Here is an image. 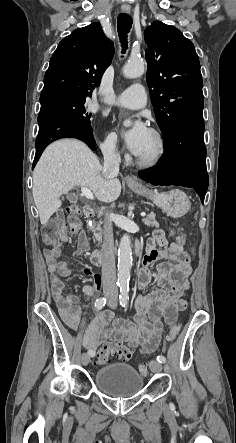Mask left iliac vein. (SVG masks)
I'll return each mask as SVG.
<instances>
[{
    "mask_svg": "<svg viewBox=\"0 0 236 443\" xmlns=\"http://www.w3.org/2000/svg\"><path fill=\"white\" fill-rule=\"evenodd\" d=\"M114 307V306H112ZM150 370L154 373H158L162 370V364L158 361H151L149 363Z\"/></svg>",
    "mask_w": 236,
    "mask_h": 443,
    "instance_id": "obj_1",
    "label": "left iliac vein"
}]
</instances>
